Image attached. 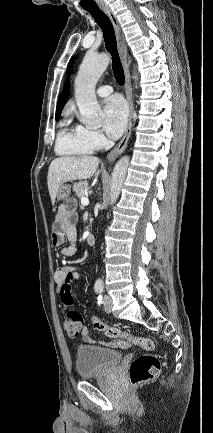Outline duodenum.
Masks as SVG:
<instances>
[{"label": "duodenum", "instance_id": "1", "mask_svg": "<svg viewBox=\"0 0 213 433\" xmlns=\"http://www.w3.org/2000/svg\"><path fill=\"white\" fill-rule=\"evenodd\" d=\"M86 241L89 245H94L95 244V237L93 234L88 233L86 236Z\"/></svg>", "mask_w": 213, "mask_h": 433}]
</instances>
